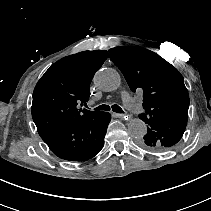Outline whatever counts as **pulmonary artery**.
I'll return each instance as SVG.
<instances>
[{
  "label": "pulmonary artery",
  "instance_id": "e3ab8cb5",
  "mask_svg": "<svg viewBox=\"0 0 211 211\" xmlns=\"http://www.w3.org/2000/svg\"><path fill=\"white\" fill-rule=\"evenodd\" d=\"M127 110L132 111L135 116H143L146 106L137 98L130 97L126 92L122 94Z\"/></svg>",
  "mask_w": 211,
  "mask_h": 211
}]
</instances>
